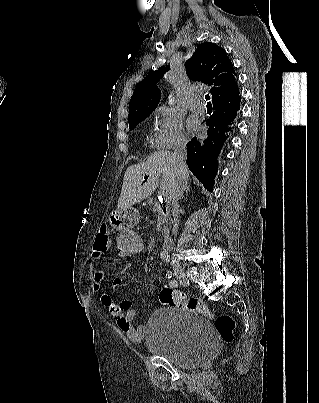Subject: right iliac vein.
Wrapping results in <instances>:
<instances>
[{
	"instance_id": "obj_1",
	"label": "right iliac vein",
	"mask_w": 319,
	"mask_h": 403,
	"mask_svg": "<svg viewBox=\"0 0 319 403\" xmlns=\"http://www.w3.org/2000/svg\"><path fill=\"white\" fill-rule=\"evenodd\" d=\"M172 269H173L174 275L176 276V278L182 285H184V286L190 285V282H189L188 278L186 277L184 270L182 269V267L180 265L173 264Z\"/></svg>"
}]
</instances>
